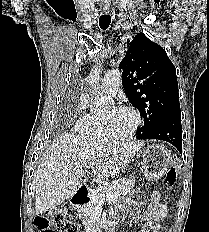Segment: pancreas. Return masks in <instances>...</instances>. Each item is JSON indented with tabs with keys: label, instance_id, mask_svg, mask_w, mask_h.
I'll return each mask as SVG.
<instances>
[{
	"label": "pancreas",
	"instance_id": "1",
	"mask_svg": "<svg viewBox=\"0 0 209 232\" xmlns=\"http://www.w3.org/2000/svg\"><path fill=\"white\" fill-rule=\"evenodd\" d=\"M135 177H130L129 179L123 178L113 181L99 190L92 193V198L89 204L83 206L80 209V214L78 217L83 219V223L92 229H95L96 220L94 219L95 208L101 203V194L121 192L122 195L128 194L134 187Z\"/></svg>",
	"mask_w": 209,
	"mask_h": 232
}]
</instances>
